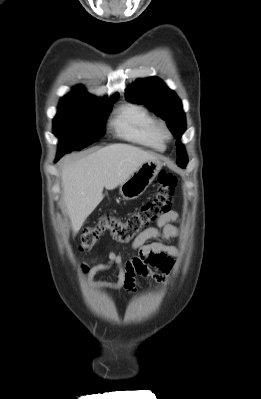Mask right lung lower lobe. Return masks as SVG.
Here are the masks:
<instances>
[{
  "instance_id": "obj_1",
  "label": "right lung lower lobe",
  "mask_w": 261,
  "mask_h": 399,
  "mask_svg": "<svg viewBox=\"0 0 261 399\" xmlns=\"http://www.w3.org/2000/svg\"><path fill=\"white\" fill-rule=\"evenodd\" d=\"M63 154L62 153H60V152H58V155H57V158H56V161L62 156Z\"/></svg>"
}]
</instances>
